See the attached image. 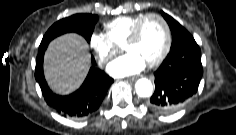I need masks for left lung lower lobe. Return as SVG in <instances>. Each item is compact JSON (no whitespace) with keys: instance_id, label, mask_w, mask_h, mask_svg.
Instances as JSON below:
<instances>
[{"instance_id":"obj_1","label":"left lung lower lobe","mask_w":236,"mask_h":135,"mask_svg":"<svg viewBox=\"0 0 236 135\" xmlns=\"http://www.w3.org/2000/svg\"><path fill=\"white\" fill-rule=\"evenodd\" d=\"M172 46L155 75V91L149 107L169 114L186 104L197 93L203 75L201 51L188 31L178 22L170 24Z\"/></svg>"}]
</instances>
